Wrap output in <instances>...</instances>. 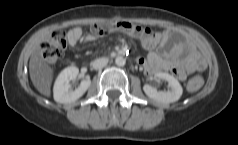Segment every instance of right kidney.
<instances>
[{
  "label": "right kidney",
  "instance_id": "ca27d5eb",
  "mask_svg": "<svg viewBox=\"0 0 238 145\" xmlns=\"http://www.w3.org/2000/svg\"><path fill=\"white\" fill-rule=\"evenodd\" d=\"M79 73V69L75 66L65 68L57 77L53 95L54 100L58 103L67 104L75 102L87 91L91 85L90 79L81 81L79 87L74 91L71 90L70 81L75 80Z\"/></svg>",
  "mask_w": 238,
  "mask_h": 145
}]
</instances>
